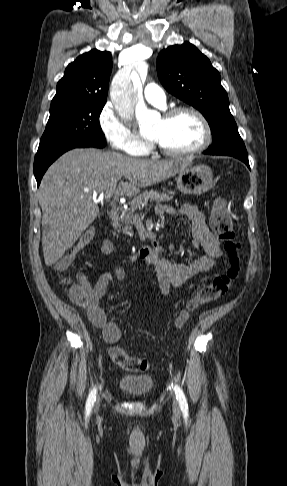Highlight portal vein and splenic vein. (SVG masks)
Instances as JSON below:
<instances>
[{
    "label": "portal vein and splenic vein",
    "instance_id": "1",
    "mask_svg": "<svg viewBox=\"0 0 287 486\" xmlns=\"http://www.w3.org/2000/svg\"><path fill=\"white\" fill-rule=\"evenodd\" d=\"M113 193H114V188L110 189L109 191H106L105 193H101V195L104 196L107 201H109Z\"/></svg>",
    "mask_w": 287,
    "mask_h": 486
}]
</instances>
